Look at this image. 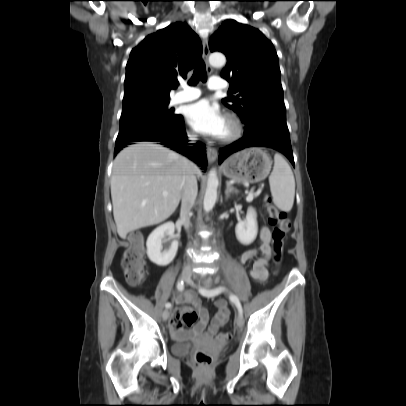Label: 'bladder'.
I'll use <instances>...</instances> for the list:
<instances>
[{
  "mask_svg": "<svg viewBox=\"0 0 406 406\" xmlns=\"http://www.w3.org/2000/svg\"><path fill=\"white\" fill-rule=\"evenodd\" d=\"M189 351H190V345L185 342L175 343L172 347L173 354L178 355V356H185L189 353Z\"/></svg>",
  "mask_w": 406,
  "mask_h": 406,
  "instance_id": "31cf9c89",
  "label": "bladder"
}]
</instances>
